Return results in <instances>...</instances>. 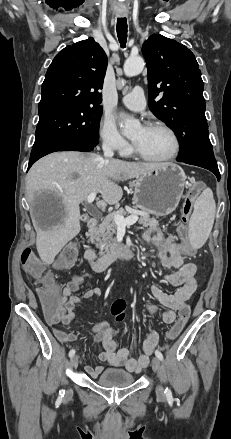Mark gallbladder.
Segmentation results:
<instances>
[{"mask_svg": "<svg viewBox=\"0 0 231 439\" xmlns=\"http://www.w3.org/2000/svg\"><path fill=\"white\" fill-rule=\"evenodd\" d=\"M83 220L86 221V220H87V217L84 216Z\"/></svg>", "mask_w": 231, "mask_h": 439, "instance_id": "bac80fb5", "label": "gallbladder"}]
</instances>
